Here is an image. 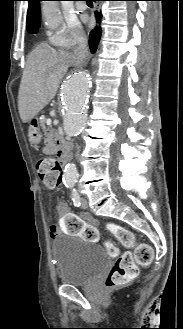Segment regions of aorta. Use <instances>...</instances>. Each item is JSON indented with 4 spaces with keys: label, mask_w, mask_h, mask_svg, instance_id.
Here are the masks:
<instances>
[{
    "label": "aorta",
    "mask_w": 183,
    "mask_h": 329,
    "mask_svg": "<svg viewBox=\"0 0 183 329\" xmlns=\"http://www.w3.org/2000/svg\"><path fill=\"white\" fill-rule=\"evenodd\" d=\"M42 15L45 25L50 29L60 27L62 18L55 2L46 1L42 5ZM93 80L86 71H76L65 81L61 93L63 109V129L67 136L75 137L83 130L87 119V104ZM78 178L74 164H67L64 169L63 182L72 187Z\"/></svg>",
    "instance_id": "1"
}]
</instances>
